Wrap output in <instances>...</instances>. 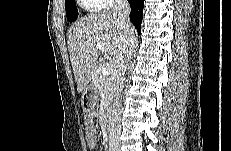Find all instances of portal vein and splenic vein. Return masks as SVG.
Returning <instances> with one entry per match:
<instances>
[{
    "mask_svg": "<svg viewBox=\"0 0 231 151\" xmlns=\"http://www.w3.org/2000/svg\"><path fill=\"white\" fill-rule=\"evenodd\" d=\"M96 48L103 51V52L105 51V47L102 44H97ZM112 71H113V65L110 62H106V63L103 64V66L101 68V72L103 74H108V73H110Z\"/></svg>",
    "mask_w": 231,
    "mask_h": 151,
    "instance_id": "18ae733b",
    "label": "portal vein and splenic vein"
}]
</instances>
